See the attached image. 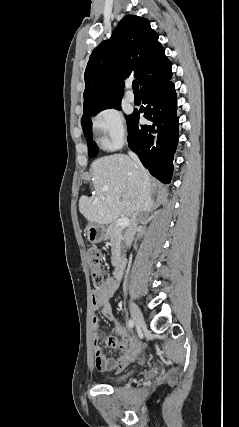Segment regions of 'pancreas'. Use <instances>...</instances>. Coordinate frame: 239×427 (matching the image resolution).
Wrapping results in <instances>:
<instances>
[{
    "instance_id": "obj_1",
    "label": "pancreas",
    "mask_w": 239,
    "mask_h": 427,
    "mask_svg": "<svg viewBox=\"0 0 239 427\" xmlns=\"http://www.w3.org/2000/svg\"><path fill=\"white\" fill-rule=\"evenodd\" d=\"M107 238L110 239L111 245V259L112 264L115 265L118 258L120 257L122 250L123 240V229L116 225V223L110 224L106 230Z\"/></svg>"
}]
</instances>
